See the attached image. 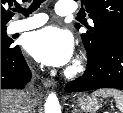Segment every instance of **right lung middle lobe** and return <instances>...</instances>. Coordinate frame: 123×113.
I'll use <instances>...</instances> for the list:
<instances>
[{
	"label": "right lung middle lobe",
	"instance_id": "dd1d6c3e",
	"mask_svg": "<svg viewBox=\"0 0 123 113\" xmlns=\"http://www.w3.org/2000/svg\"><path fill=\"white\" fill-rule=\"evenodd\" d=\"M12 39L6 35V26L1 27V48H11Z\"/></svg>",
	"mask_w": 123,
	"mask_h": 113
}]
</instances>
